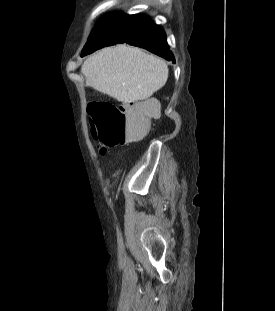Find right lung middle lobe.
Here are the masks:
<instances>
[{"label": "right lung middle lobe", "instance_id": "dd1d6c3e", "mask_svg": "<svg viewBox=\"0 0 275 311\" xmlns=\"http://www.w3.org/2000/svg\"><path fill=\"white\" fill-rule=\"evenodd\" d=\"M148 19L145 15H127L121 12L103 17L92 30L81 56L122 42L139 24Z\"/></svg>", "mask_w": 275, "mask_h": 311}]
</instances>
